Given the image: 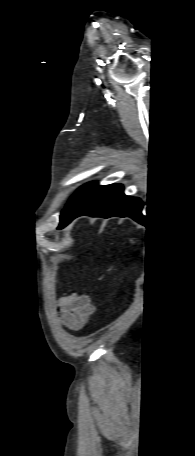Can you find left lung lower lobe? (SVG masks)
Wrapping results in <instances>:
<instances>
[{
	"mask_svg": "<svg viewBox=\"0 0 195 456\" xmlns=\"http://www.w3.org/2000/svg\"><path fill=\"white\" fill-rule=\"evenodd\" d=\"M141 210V200L126 196L123 193L122 185H106L75 214L70 216L63 224V227L70 223L74 218L82 215L104 218L112 216L131 217L140 222L143 219Z\"/></svg>",
	"mask_w": 195,
	"mask_h": 456,
	"instance_id": "1",
	"label": "left lung lower lobe"
}]
</instances>
